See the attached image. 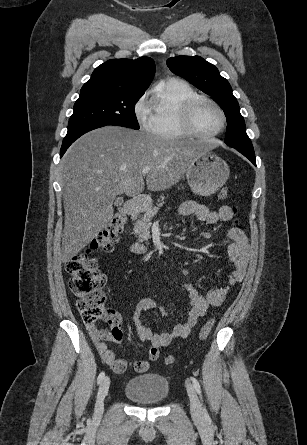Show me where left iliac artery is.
<instances>
[{
	"label": "left iliac artery",
	"mask_w": 307,
	"mask_h": 445,
	"mask_svg": "<svg viewBox=\"0 0 307 445\" xmlns=\"http://www.w3.org/2000/svg\"><path fill=\"white\" fill-rule=\"evenodd\" d=\"M191 379H192L193 386H194L195 390L198 392V394H199L200 397L202 398V395H201V387H200V384H199L198 380H197L195 377H192ZM203 413H204L205 420H206L207 422H210V417H209V414H208V412H207L205 406L203 407Z\"/></svg>",
	"instance_id": "44dca946"
}]
</instances>
